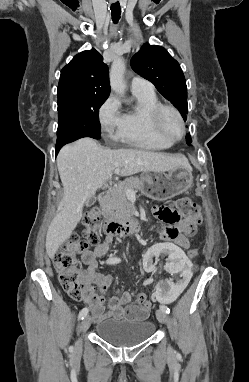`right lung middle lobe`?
I'll use <instances>...</instances> for the list:
<instances>
[{
    "instance_id": "1",
    "label": "right lung middle lobe",
    "mask_w": 249,
    "mask_h": 382,
    "mask_svg": "<svg viewBox=\"0 0 249 382\" xmlns=\"http://www.w3.org/2000/svg\"><path fill=\"white\" fill-rule=\"evenodd\" d=\"M105 99L58 108L57 145H65L83 137L100 139L99 108Z\"/></svg>"
}]
</instances>
